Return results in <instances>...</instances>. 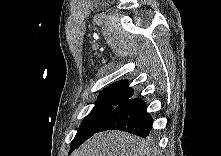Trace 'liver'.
Listing matches in <instances>:
<instances>
[{
  "label": "liver",
  "instance_id": "obj_1",
  "mask_svg": "<svg viewBox=\"0 0 221 156\" xmlns=\"http://www.w3.org/2000/svg\"><path fill=\"white\" fill-rule=\"evenodd\" d=\"M157 148L150 142L122 131L97 133L72 156H156Z\"/></svg>",
  "mask_w": 221,
  "mask_h": 156
}]
</instances>
